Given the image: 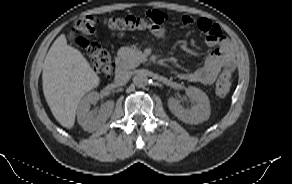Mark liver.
Masks as SVG:
<instances>
[{"label":"liver","instance_id":"obj_1","mask_svg":"<svg viewBox=\"0 0 292 184\" xmlns=\"http://www.w3.org/2000/svg\"><path fill=\"white\" fill-rule=\"evenodd\" d=\"M43 93L55 119L65 128L75 123L78 104L100 78L77 49L61 34L50 47L42 72Z\"/></svg>","mask_w":292,"mask_h":184}]
</instances>
